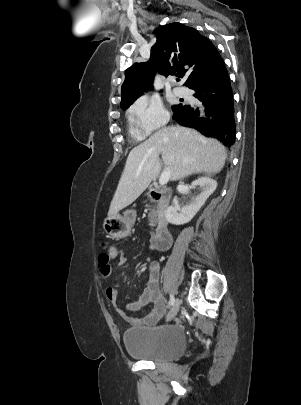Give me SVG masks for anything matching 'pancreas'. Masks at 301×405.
Returning <instances> with one entry per match:
<instances>
[{
	"label": "pancreas",
	"instance_id": "obj_1",
	"mask_svg": "<svg viewBox=\"0 0 301 405\" xmlns=\"http://www.w3.org/2000/svg\"><path fill=\"white\" fill-rule=\"evenodd\" d=\"M157 214H158V207H156V206L152 207L151 212H150V214H149V216H148V217H149V221H150L149 225H150L151 227L156 224V217H157Z\"/></svg>",
	"mask_w": 301,
	"mask_h": 405
}]
</instances>
